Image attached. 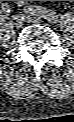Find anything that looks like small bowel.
I'll list each match as a JSON object with an SVG mask.
<instances>
[{
    "instance_id": "1",
    "label": "small bowel",
    "mask_w": 74,
    "mask_h": 122,
    "mask_svg": "<svg viewBox=\"0 0 74 122\" xmlns=\"http://www.w3.org/2000/svg\"><path fill=\"white\" fill-rule=\"evenodd\" d=\"M24 3H26V1H21L20 4L23 5Z\"/></svg>"
}]
</instances>
